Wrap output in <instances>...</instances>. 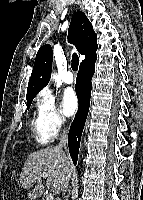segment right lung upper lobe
<instances>
[{
    "mask_svg": "<svg viewBox=\"0 0 143 200\" xmlns=\"http://www.w3.org/2000/svg\"><path fill=\"white\" fill-rule=\"evenodd\" d=\"M68 31L69 42L76 46L79 53L85 55V60L96 54L97 35L84 13L81 11L74 13ZM52 61L53 52L51 46H42L37 52L28 83L27 100L33 99L48 84L52 70Z\"/></svg>",
    "mask_w": 143,
    "mask_h": 200,
    "instance_id": "obj_1",
    "label": "right lung upper lobe"
}]
</instances>
